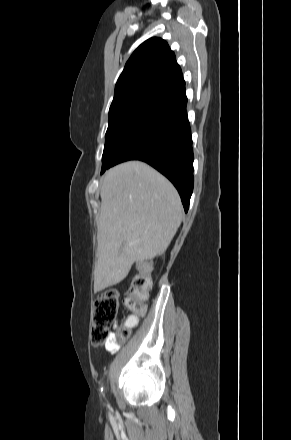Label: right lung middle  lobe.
Here are the masks:
<instances>
[{
  "label": "right lung middle lobe",
  "instance_id": "1",
  "mask_svg": "<svg viewBox=\"0 0 291 440\" xmlns=\"http://www.w3.org/2000/svg\"><path fill=\"white\" fill-rule=\"evenodd\" d=\"M153 100V98L139 97L111 104L109 109V125L105 135L101 173H104L105 170L108 169L112 157L135 129Z\"/></svg>",
  "mask_w": 291,
  "mask_h": 440
}]
</instances>
